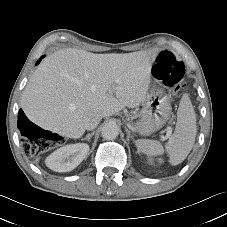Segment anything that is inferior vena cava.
I'll use <instances>...</instances> for the list:
<instances>
[{
	"mask_svg": "<svg viewBox=\"0 0 227 227\" xmlns=\"http://www.w3.org/2000/svg\"><path fill=\"white\" fill-rule=\"evenodd\" d=\"M101 119H102V116L99 113L88 114L85 118V128L87 130L95 129L98 126Z\"/></svg>",
	"mask_w": 227,
	"mask_h": 227,
	"instance_id": "602c4592",
	"label": "inferior vena cava"
}]
</instances>
